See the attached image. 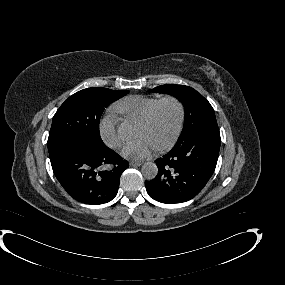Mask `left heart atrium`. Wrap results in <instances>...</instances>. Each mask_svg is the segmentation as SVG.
<instances>
[{"mask_svg": "<svg viewBox=\"0 0 285 285\" xmlns=\"http://www.w3.org/2000/svg\"><path fill=\"white\" fill-rule=\"evenodd\" d=\"M152 144L145 138H140L129 142L122 147V154L131 159H143L147 157L151 151Z\"/></svg>", "mask_w": 285, "mask_h": 285, "instance_id": "obj_1", "label": "left heart atrium"}]
</instances>
